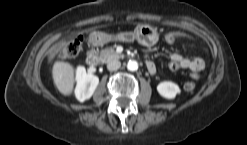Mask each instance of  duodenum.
I'll list each match as a JSON object with an SVG mask.
<instances>
[{
	"label": "duodenum",
	"instance_id": "obj_1",
	"mask_svg": "<svg viewBox=\"0 0 247 145\" xmlns=\"http://www.w3.org/2000/svg\"><path fill=\"white\" fill-rule=\"evenodd\" d=\"M91 42H92L93 46H98L104 42V38L101 35H95V36H93ZM87 63L90 66H96L98 64L97 55H96L94 49H90L87 52ZM146 66H147L150 73L155 72V65L153 62L147 61Z\"/></svg>",
	"mask_w": 247,
	"mask_h": 145
}]
</instances>
